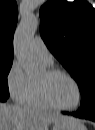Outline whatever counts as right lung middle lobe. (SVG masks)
<instances>
[{
  "instance_id": "obj_1",
  "label": "right lung middle lobe",
  "mask_w": 95,
  "mask_h": 130,
  "mask_svg": "<svg viewBox=\"0 0 95 130\" xmlns=\"http://www.w3.org/2000/svg\"><path fill=\"white\" fill-rule=\"evenodd\" d=\"M13 61H0V95L9 96L7 75Z\"/></svg>"
}]
</instances>
